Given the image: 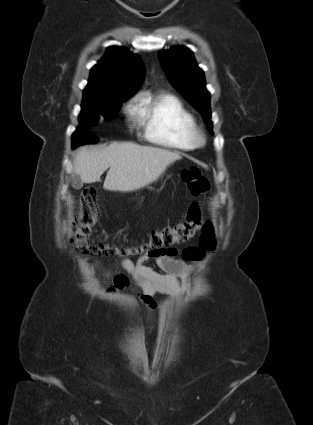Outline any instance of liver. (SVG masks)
<instances>
[{
  "instance_id": "obj_1",
  "label": "liver",
  "mask_w": 313,
  "mask_h": 425,
  "mask_svg": "<svg viewBox=\"0 0 313 425\" xmlns=\"http://www.w3.org/2000/svg\"><path fill=\"white\" fill-rule=\"evenodd\" d=\"M178 153L135 143H112L107 147H82L76 154L74 170L83 182L100 181L109 168L103 188L131 192L152 183L171 163L180 160Z\"/></svg>"
}]
</instances>
